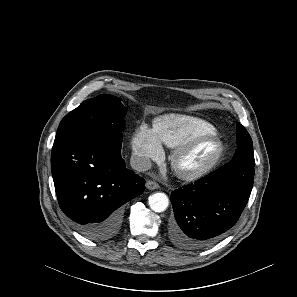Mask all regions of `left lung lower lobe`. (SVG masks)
Listing matches in <instances>:
<instances>
[{"instance_id":"1","label":"left lung lower lobe","mask_w":297,"mask_h":297,"mask_svg":"<svg viewBox=\"0 0 297 297\" xmlns=\"http://www.w3.org/2000/svg\"><path fill=\"white\" fill-rule=\"evenodd\" d=\"M254 166V159H233L194 184L173 191V243L185 249H201L221 239L249 200Z\"/></svg>"}]
</instances>
